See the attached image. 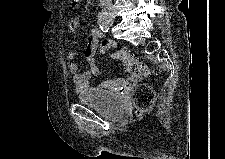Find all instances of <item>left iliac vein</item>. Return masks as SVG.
Returning a JSON list of instances; mask_svg holds the SVG:
<instances>
[{
    "instance_id": "obj_1",
    "label": "left iliac vein",
    "mask_w": 225,
    "mask_h": 159,
    "mask_svg": "<svg viewBox=\"0 0 225 159\" xmlns=\"http://www.w3.org/2000/svg\"><path fill=\"white\" fill-rule=\"evenodd\" d=\"M107 22H108V24H109V25H111V24H112V22H111V21H109V20H107Z\"/></svg>"
}]
</instances>
